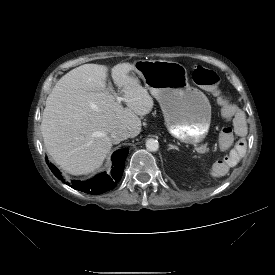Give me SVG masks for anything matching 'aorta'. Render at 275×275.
Listing matches in <instances>:
<instances>
[{
    "mask_svg": "<svg viewBox=\"0 0 275 275\" xmlns=\"http://www.w3.org/2000/svg\"><path fill=\"white\" fill-rule=\"evenodd\" d=\"M146 148L148 151L155 152L159 148V143L155 139H148L146 141Z\"/></svg>",
    "mask_w": 275,
    "mask_h": 275,
    "instance_id": "aorta-1",
    "label": "aorta"
}]
</instances>
